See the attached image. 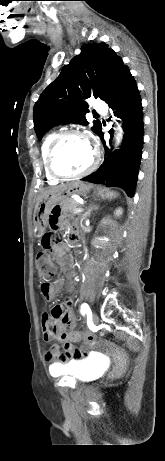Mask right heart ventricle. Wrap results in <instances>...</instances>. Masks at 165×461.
<instances>
[{"label":"right heart ventricle","instance_id":"obj_1","mask_svg":"<svg viewBox=\"0 0 165 461\" xmlns=\"http://www.w3.org/2000/svg\"><path fill=\"white\" fill-rule=\"evenodd\" d=\"M55 137H56V133H50L49 135H47L45 137V139L43 140L42 145H41V155H42L43 165H44V169H45V174H46V178H47V180H48V182L50 184H55V183L58 182V179L51 176L48 173L47 169H46V154H47V150H48V147L51 144L52 140Z\"/></svg>","mask_w":165,"mask_h":461}]
</instances>
